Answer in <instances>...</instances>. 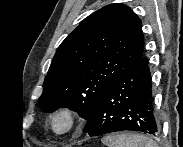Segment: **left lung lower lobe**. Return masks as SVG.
<instances>
[{"label":"left lung lower lobe","mask_w":183,"mask_h":147,"mask_svg":"<svg viewBox=\"0 0 183 147\" xmlns=\"http://www.w3.org/2000/svg\"><path fill=\"white\" fill-rule=\"evenodd\" d=\"M148 60L142 56L103 93L92 110L85 131L90 136L130 130L157 135Z\"/></svg>","instance_id":"left-lung-lower-lobe-1"}]
</instances>
